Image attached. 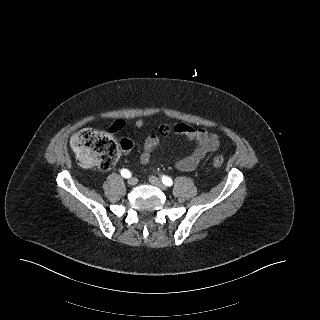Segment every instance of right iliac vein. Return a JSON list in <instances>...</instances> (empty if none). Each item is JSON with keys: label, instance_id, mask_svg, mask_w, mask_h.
Here are the masks:
<instances>
[{"label": "right iliac vein", "instance_id": "right-iliac-vein-1", "mask_svg": "<svg viewBox=\"0 0 320 320\" xmlns=\"http://www.w3.org/2000/svg\"><path fill=\"white\" fill-rule=\"evenodd\" d=\"M128 184H129V185H135V184H137V179H136V178H131V179H129V180H128Z\"/></svg>", "mask_w": 320, "mask_h": 320}]
</instances>
